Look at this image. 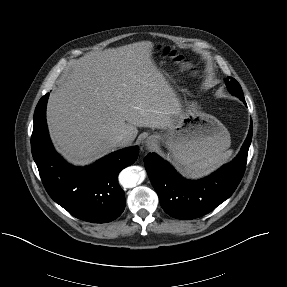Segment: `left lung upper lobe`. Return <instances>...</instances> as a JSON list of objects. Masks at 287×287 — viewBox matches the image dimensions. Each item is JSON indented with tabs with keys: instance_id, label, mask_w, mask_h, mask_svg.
<instances>
[{
	"instance_id": "obj_1",
	"label": "left lung upper lobe",
	"mask_w": 287,
	"mask_h": 287,
	"mask_svg": "<svg viewBox=\"0 0 287 287\" xmlns=\"http://www.w3.org/2000/svg\"><path fill=\"white\" fill-rule=\"evenodd\" d=\"M226 82V86L228 91L234 95L237 96L239 99H244V95L241 89L240 84L232 77H227V79H225Z\"/></svg>"
}]
</instances>
